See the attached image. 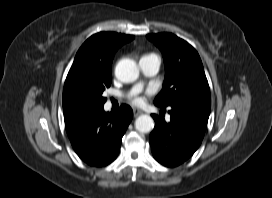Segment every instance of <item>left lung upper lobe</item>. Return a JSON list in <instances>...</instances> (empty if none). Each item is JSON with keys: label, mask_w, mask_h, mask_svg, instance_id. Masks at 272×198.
<instances>
[{"label": "left lung upper lobe", "mask_w": 272, "mask_h": 198, "mask_svg": "<svg viewBox=\"0 0 272 198\" xmlns=\"http://www.w3.org/2000/svg\"><path fill=\"white\" fill-rule=\"evenodd\" d=\"M146 37L161 50L165 64L163 88L154 100L155 105L184 104L210 109V89L197 51L171 33Z\"/></svg>", "instance_id": "obj_1"}]
</instances>
